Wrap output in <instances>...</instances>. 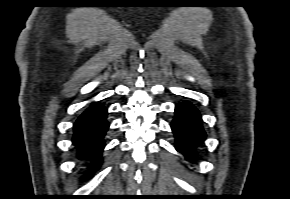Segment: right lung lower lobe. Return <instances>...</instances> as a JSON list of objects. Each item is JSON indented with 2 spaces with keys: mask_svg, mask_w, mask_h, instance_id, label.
<instances>
[{
  "mask_svg": "<svg viewBox=\"0 0 290 199\" xmlns=\"http://www.w3.org/2000/svg\"><path fill=\"white\" fill-rule=\"evenodd\" d=\"M106 116L107 109L104 106L92 103L74 125L73 143L80 152L79 157L90 159L95 165H99L98 162L105 146L103 138L109 127ZM91 175L92 172L88 177Z\"/></svg>",
  "mask_w": 290,
  "mask_h": 199,
  "instance_id": "98d812e1",
  "label": "right lung lower lobe"
}]
</instances>
